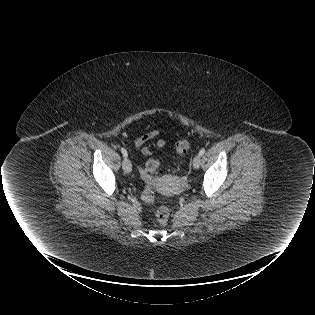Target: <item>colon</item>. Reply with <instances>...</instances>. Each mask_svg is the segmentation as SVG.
Here are the masks:
<instances>
[{"label":"colon","mask_w":315,"mask_h":315,"mask_svg":"<svg viewBox=\"0 0 315 315\" xmlns=\"http://www.w3.org/2000/svg\"><path fill=\"white\" fill-rule=\"evenodd\" d=\"M190 150V143L188 140H179L175 145V151L179 155H185ZM160 162L158 159L151 158L147 161L144 170L142 171V177L145 182L144 189L141 193V199L146 204H152L155 200V195L153 192L154 185V174L158 170ZM169 209L166 207H159L155 211V217L159 224L165 225L169 219Z\"/></svg>","instance_id":"1"}]
</instances>
